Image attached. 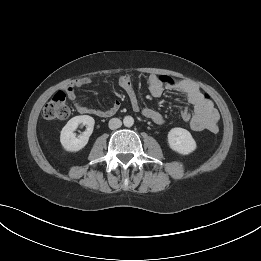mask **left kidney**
<instances>
[{"label": "left kidney", "mask_w": 261, "mask_h": 261, "mask_svg": "<svg viewBox=\"0 0 261 261\" xmlns=\"http://www.w3.org/2000/svg\"><path fill=\"white\" fill-rule=\"evenodd\" d=\"M169 147L182 155L195 151L196 142L189 131L183 128H172L168 133Z\"/></svg>", "instance_id": "1"}]
</instances>
